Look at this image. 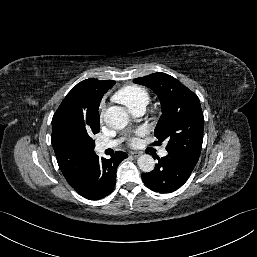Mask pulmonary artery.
Wrapping results in <instances>:
<instances>
[{"mask_svg":"<svg viewBox=\"0 0 257 257\" xmlns=\"http://www.w3.org/2000/svg\"><path fill=\"white\" fill-rule=\"evenodd\" d=\"M145 111V108L143 107H140V108H136L134 110L131 111V113L134 115V116H141L143 115ZM118 145V141L114 140V141H103V142H98L96 144V151L97 152H103L104 150L108 149V148H113L115 146ZM167 155V151L166 149H162L160 151V156H166Z\"/></svg>","mask_w":257,"mask_h":257,"instance_id":"obj_1","label":"pulmonary artery"}]
</instances>
